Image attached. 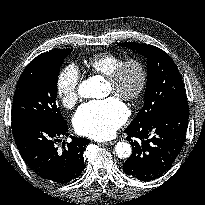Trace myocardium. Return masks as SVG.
I'll return each mask as SVG.
<instances>
[{
    "mask_svg": "<svg viewBox=\"0 0 205 205\" xmlns=\"http://www.w3.org/2000/svg\"><path fill=\"white\" fill-rule=\"evenodd\" d=\"M131 66L135 67L138 70L139 79L134 90L125 92L122 90L121 85L126 70ZM107 81L111 86L112 92L115 95L128 102L136 101L142 96L147 86L148 70L146 64L139 58L124 59L115 68V70L109 76H107Z\"/></svg>",
    "mask_w": 205,
    "mask_h": 205,
    "instance_id": "f54148a6",
    "label": "myocardium"
}]
</instances>
